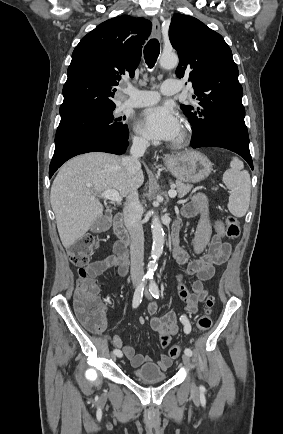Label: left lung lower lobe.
<instances>
[{"mask_svg":"<svg viewBox=\"0 0 283 434\" xmlns=\"http://www.w3.org/2000/svg\"><path fill=\"white\" fill-rule=\"evenodd\" d=\"M193 148L219 147L233 151L246 160L253 169V162L249 151V144L231 138H216L204 143H193Z\"/></svg>","mask_w":283,"mask_h":434,"instance_id":"left-lung-lower-lobe-1","label":"left lung lower lobe"}]
</instances>
